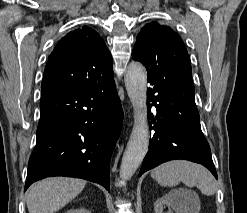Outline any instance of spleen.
<instances>
[{"label": "spleen", "mask_w": 247, "mask_h": 213, "mask_svg": "<svg viewBox=\"0 0 247 213\" xmlns=\"http://www.w3.org/2000/svg\"><path fill=\"white\" fill-rule=\"evenodd\" d=\"M161 186H176L183 182L188 187L196 186L204 195L211 196L217 191L216 180L203 166L184 160L161 164L151 172Z\"/></svg>", "instance_id": "spleen-1"}]
</instances>
